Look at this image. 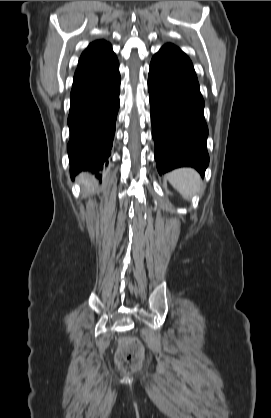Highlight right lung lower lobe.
<instances>
[{
  "instance_id": "98d812e1",
  "label": "right lung lower lobe",
  "mask_w": 271,
  "mask_h": 418,
  "mask_svg": "<svg viewBox=\"0 0 271 418\" xmlns=\"http://www.w3.org/2000/svg\"><path fill=\"white\" fill-rule=\"evenodd\" d=\"M118 60L74 84L68 116V154L72 176L108 165L119 107ZM101 179V175L96 174Z\"/></svg>"
}]
</instances>
